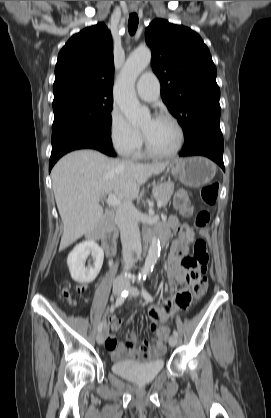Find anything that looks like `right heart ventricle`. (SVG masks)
Returning <instances> with one entry per match:
<instances>
[{
  "label": "right heart ventricle",
  "mask_w": 271,
  "mask_h": 418,
  "mask_svg": "<svg viewBox=\"0 0 271 418\" xmlns=\"http://www.w3.org/2000/svg\"><path fill=\"white\" fill-rule=\"evenodd\" d=\"M140 148V147H139ZM139 148H138V150L133 154L135 157H140V156H142V153H141V151L139 150Z\"/></svg>",
  "instance_id": "obj_1"
}]
</instances>
